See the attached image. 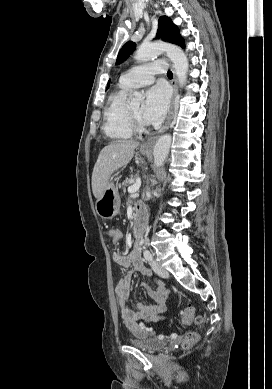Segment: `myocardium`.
<instances>
[{"label": "myocardium", "mask_w": 272, "mask_h": 389, "mask_svg": "<svg viewBox=\"0 0 272 389\" xmlns=\"http://www.w3.org/2000/svg\"><path fill=\"white\" fill-rule=\"evenodd\" d=\"M128 119L133 132L144 133L147 131L146 124L134 114L130 107H128Z\"/></svg>", "instance_id": "myocardium-1"}]
</instances>
